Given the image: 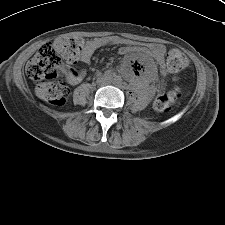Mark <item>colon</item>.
Listing matches in <instances>:
<instances>
[{"mask_svg":"<svg viewBox=\"0 0 225 225\" xmlns=\"http://www.w3.org/2000/svg\"><path fill=\"white\" fill-rule=\"evenodd\" d=\"M82 40L79 37L63 36L46 43L38 50L26 66V75L37 82L36 92L40 98L55 106L63 105L69 96L66 82L58 79L65 64H74L79 57ZM188 64L187 56L180 50H171L167 56L166 69L170 73L183 70ZM183 90L175 87L156 96L154 107L158 111H169L183 97Z\"/></svg>","mask_w":225,"mask_h":225,"instance_id":"colon-1","label":"colon"}]
</instances>
